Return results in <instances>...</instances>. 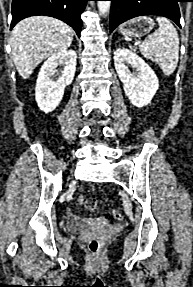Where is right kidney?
<instances>
[{"mask_svg": "<svg viewBox=\"0 0 193 287\" xmlns=\"http://www.w3.org/2000/svg\"><path fill=\"white\" fill-rule=\"evenodd\" d=\"M77 54L74 50L60 51L50 56L42 65L38 74L35 97L40 110L52 112L61 102L64 88L73 81L76 71ZM64 66L62 74L56 81L51 78L58 66Z\"/></svg>", "mask_w": 193, "mask_h": 287, "instance_id": "obj_1", "label": "right kidney"}]
</instances>
